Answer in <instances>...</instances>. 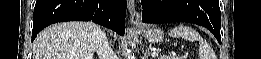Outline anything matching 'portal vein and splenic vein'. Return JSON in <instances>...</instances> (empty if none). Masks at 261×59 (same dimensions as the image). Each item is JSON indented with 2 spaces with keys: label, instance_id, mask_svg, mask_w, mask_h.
<instances>
[{
  "label": "portal vein and splenic vein",
  "instance_id": "portal-vein-and-splenic-vein-1",
  "mask_svg": "<svg viewBox=\"0 0 261 59\" xmlns=\"http://www.w3.org/2000/svg\"><path fill=\"white\" fill-rule=\"evenodd\" d=\"M158 53H159V51H154V52H152V56L155 57L158 55Z\"/></svg>",
  "mask_w": 261,
  "mask_h": 59
}]
</instances>
